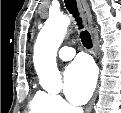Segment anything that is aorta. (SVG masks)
Returning <instances> with one entry per match:
<instances>
[{
	"label": "aorta",
	"instance_id": "obj_1",
	"mask_svg": "<svg viewBox=\"0 0 121 113\" xmlns=\"http://www.w3.org/2000/svg\"><path fill=\"white\" fill-rule=\"evenodd\" d=\"M70 18L63 14L50 15L38 34L33 62L40 83L48 92L61 89V77L56 64L57 51L63 42Z\"/></svg>",
	"mask_w": 121,
	"mask_h": 113
}]
</instances>
